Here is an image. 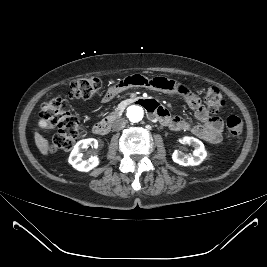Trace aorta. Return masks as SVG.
<instances>
[{"instance_id": "aorta-1", "label": "aorta", "mask_w": 267, "mask_h": 267, "mask_svg": "<svg viewBox=\"0 0 267 267\" xmlns=\"http://www.w3.org/2000/svg\"><path fill=\"white\" fill-rule=\"evenodd\" d=\"M144 116V111L142 107L138 105H132L127 109V117L129 121L137 123L142 120Z\"/></svg>"}]
</instances>
